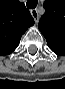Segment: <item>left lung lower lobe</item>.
Masks as SVG:
<instances>
[{
	"label": "left lung lower lobe",
	"mask_w": 65,
	"mask_h": 89,
	"mask_svg": "<svg viewBox=\"0 0 65 89\" xmlns=\"http://www.w3.org/2000/svg\"><path fill=\"white\" fill-rule=\"evenodd\" d=\"M48 46L57 55H61V56L65 55V47L56 46V45H48Z\"/></svg>",
	"instance_id": "left-lung-lower-lobe-1"
}]
</instances>
